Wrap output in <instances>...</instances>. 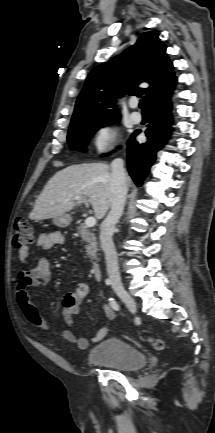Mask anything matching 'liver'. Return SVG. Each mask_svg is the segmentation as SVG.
Returning <instances> with one entry per match:
<instances>
[{
	"mask_svg": "<svg viewBox=\"0 0 215 433\" xmlns=\"http://www.w3.org/2000/svg\"><path fill=\"white\" fill-rule=\"evenodd\" d=\"M131 180L126 178L129 186ZM75 196L88 197L96 218L111 206V171L105 163L70 165L58 171L45 185L29 215L32 220L55 218L76 206Z\"/></svg>",
	"mask_w": 215,
	"mask_h": 433,
	"instance_id": "obj_1",
	"label": "liver"
}]
</instances>
